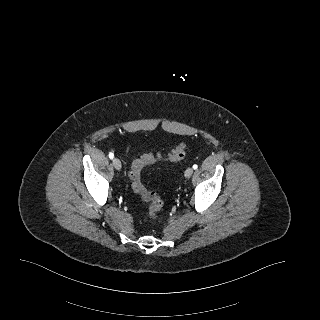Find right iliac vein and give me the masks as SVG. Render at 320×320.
<instances>
[{
    "label": "right iliac vein",
    "mask_w": 320,
    "mask_h": 320,
    "mask_svg": "<svg viewBox=\"0 0 320 320\" xmlns=\"http://www.w3.org/2000/svg\"><path fill=\"white\" fill-rule=\"evenodd\" d=\"M112 164H113V166H114V168H115L116 170H120V169H121V162H120L119 159L114 158V159L112 160Z\"/></svg>",
    "instance_id": "1"
}]
</instances>
